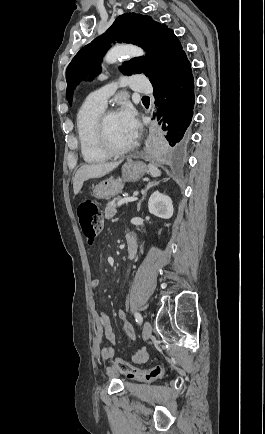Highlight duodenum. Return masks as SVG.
Wrapping results in <instances>:
<instances>
[{
	"instance_id": "duodenum-1",
	"label": "duodenum",
	"mask_w": 265,
	"mask_h": 434,
	"mask_svg": "<svg viewBox=\"0 0 265 434\" xmlns=\"http://www.w3.org/2000/svg\"><path fill=\"white\" fill-rule=\"evenodd\" d=\"M138 252V245L136 240H133L131 242L128 243V247H127V258L128 260H131L133 258L136 257Z\"/></svg>"
}]
</instances>
